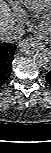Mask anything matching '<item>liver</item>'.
<instances>
[{
  "mask_svg": "<svg viewBox=\"0 0 51 153\" xmlns=\"http://www.w3.org/2000/svg\"><path fill=\"white\" fill-rule=\"evenodd\" d=\"M15 14L12 13L8 4L1 0L0 2V31L7 26L13 25L15 23Z\"/></svg>",
  "mask_w": 51,
  "mask_h": 153,
  "instance_id": "liver-1",
  "label": "liver"
}]
</instances>
